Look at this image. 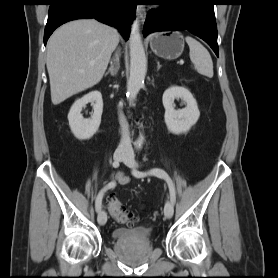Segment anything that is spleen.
<instances>
[{"instance_id": "spleen-1", "label": "spleen", "mask_w": 278, "mask_h": 278, "mask_svg": "<svg viewBox=\"0 0 278 278\" xmlns=\"http://www.w3.org/2000/svg\"><path fill=\"white\" fill-rule=\"evenodd\" d=\"M185 40L189 46L190 59L196 71L201 75L212 78L214 74L213 62L208 50L200 42L190 36H187Z\"/></svg>"}]
</instances>
